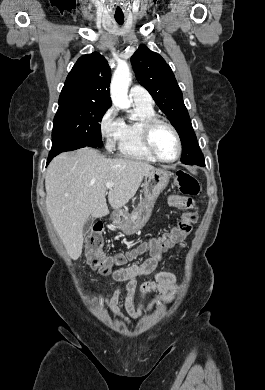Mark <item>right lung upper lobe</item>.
<instances>
[{
    "label": "right lung upper lobe",
    "mask_w": 265,
    "mask_h": 390,
    "mask_svg": "<svg viewBox=\"0 0 265 390\" xmlns=\"http://www.w3.org/2000/svg\"><path fill=\"white\" fill-rule=\"evenodd\" d=\"M111 70L98 52L81 56L68 74L59 102H88L111 107Z\"/></svg>",
    "instance_id": "obj_1"
}]
</instances>
